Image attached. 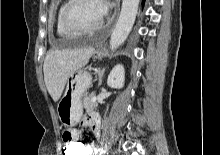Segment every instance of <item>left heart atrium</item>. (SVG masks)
<instances>
[{
	"label": "left heart atrium",
	"instance_id": "left-heart-atrium-1",
	"mask_svg": "<svg viewBox=\"0 0 220 155\" xmlns=\"http://www.w3.org/2000/svg\"><path fill=\"white\" fill-rule=\"evenodd\" d=\"M97 2H98V6L100 8V11H101L102 15L104 16L107 12L108 5L103 0H97Z\"/></svg>",
	"mask_w": 220,
	"mask_h": 155
}]
</instances>
